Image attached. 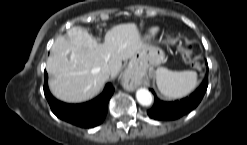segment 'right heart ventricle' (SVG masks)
Here are the masks:
<instances>
[{
	"instance_id": "right-heart-ventricle-1",
	"label": "right heart ventricle",
	"mask_w": 247,
	"mask_h": 145,
	"mask_svg": "<svg viewBox=\"0 0 247 145\" xmlns=\"http://www.w3.org/2000/svg\"><path fill=\"white\" fill-rule=\"evenodd\" d=\"M157 33H158V28L152 27V28H150V29L147 31L146 37H147L148 39L153 38V37H155V36L157 35Z\"/></svg>"
}]
</instances>
